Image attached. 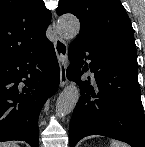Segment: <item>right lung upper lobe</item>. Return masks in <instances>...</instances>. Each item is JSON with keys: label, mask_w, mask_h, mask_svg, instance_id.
I'll use <instances>...</instances> for the list:
<instances>
[{"label": "right lung upper lobe", "mask_w": 145, "mask_h": 147, "mask_svg": "<svg viewBox=\"0 0 145 147\" xmlns=\"http://www.w3.org/2000/svg\"><path fill=\"white\" fill-rule=\"evenodd\" d=\"M50 22L43 0H0V64L47 41Z\"/></svg>", "instance_id": "right-lung-upper-lobe-1"}]
</instances>
